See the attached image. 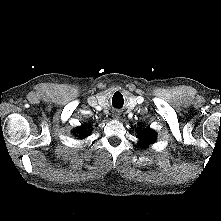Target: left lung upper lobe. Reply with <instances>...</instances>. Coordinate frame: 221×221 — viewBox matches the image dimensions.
Segmentation results:
<instances>
[{
    "label": "left lung upper lobe",
    "mask_w": 221,
    "mask_h": 221,
    "mask_svg": "<svg viewBox=\"0 0 221 221\" xmlns=\"http://www.w3.org/2000/svg\"><path fill=\"white\" fill-rule=\"evenodd\" d=\"M156 134L151 129H138V139L140 140V146L146 147L155 140Z\"/></svg>",
    "instance_id": "obj_1"
}]
</instances>
